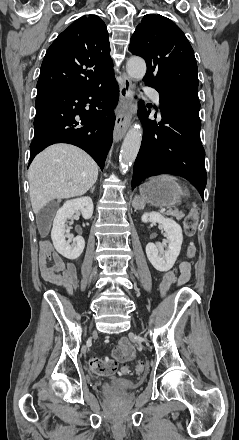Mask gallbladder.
Returning <instances> with one entry per match:
<instances>
[{
    "label": "gallbladder",
    "instance_id": "obj_1",
    "mask_svg": "<svg viewBox=\"0 0 239 440\" xmlns=\"http://www.w3.org/2000/svg\"><path fill=\"white\" fill-rule=\"evenodd\" d=\"M45 208H43V210H41V212H39L38 216H37V224H38V230H41V226H42V216H45ZM48 224L46 222V228H47Z\"/></svg>",
    "mask_w": 239,
    "mask_h": 440
}]
</instances>
